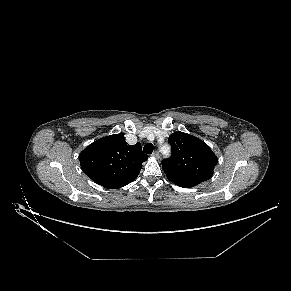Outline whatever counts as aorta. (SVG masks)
Wrapping results in <instances>:
<instances>
[{
  "mask_svg": "<svg viewBox=\"0 0 291 291\" xmlns=\"http://www.w3.org/2000/svg\"><path fill=\"white\" fill-rule=\"evenodd\" d=\"M168 154V152L167 153H164V155H167Z\"/></svg>",
  "mask_w": 291,
  "mask_h": 291,
  "instance_id": "aorta-1",
  "label": "aorta"
}]
</instances>
